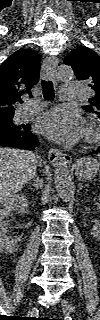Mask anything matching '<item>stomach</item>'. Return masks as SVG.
Instances as JSON below:
<instances>
[{
  "mask_svg": "<svg viewBox=\"0 0 100 320\" xmlns=\"http://www.w3.org/2000/svg\"><path fill=\"white\" fill-rule=\"evenodd\" d=\"M75 174L80 180L93 179L100 170V162L92 157H83L74 164Z\"/></svg>",
  "mask_w": 100,
  "mask_h": 320,
  "instance_id": "0dacf381",
  "label": "stomach"
}]
</instances>
